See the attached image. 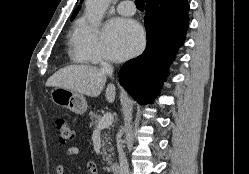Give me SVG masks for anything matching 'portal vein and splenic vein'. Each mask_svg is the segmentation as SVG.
Here are the masks:
<instances>
[{"label": "portal vein and splenic vein", "mask_w": 249, "mask_h": 174, "mask_svg": "<svg viewBox=\"0 0 249 174\" xmlns=\"http://www.w3.org/2000/svg\"><path fill=\"white\" fill-rule=\"evenodd\" d=\"M113 122V115L110 112H107L103 115V117L98 121L97 129H105L108 128Z\"/></svg>", "instance_id": "obj_1"}]
</instances>
